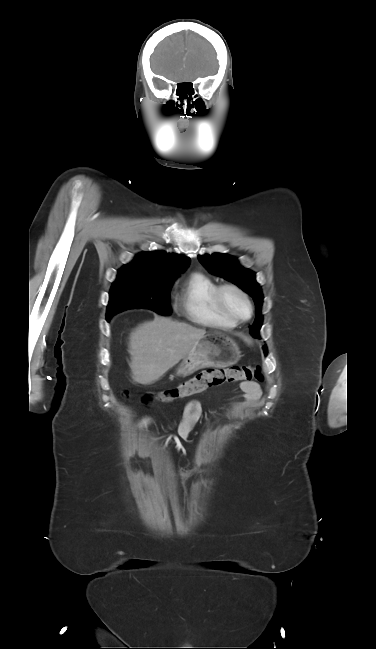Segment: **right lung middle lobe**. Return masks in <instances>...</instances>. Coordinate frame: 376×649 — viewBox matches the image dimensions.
<instances>
[{"label": "right lung middle lobe", "mask_w": 376, "mask_h": 649, "mask_svg": "<svg viewBox=\"0 0 376 649\" xmlns=\"http://www.w3.org/2000/svg\"><path fill=\"white\" fill-rule=\"evenodd\" d=\"M178 276V272L149 275L134 265L123 266L111 287L107 321L116 313L130 308H148L170 315V289Z\"/></svg>", "instance_id": "right-lung-middle-lobe-1"}]
</instances>
